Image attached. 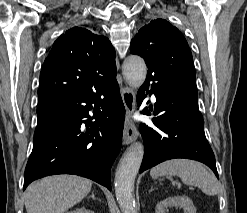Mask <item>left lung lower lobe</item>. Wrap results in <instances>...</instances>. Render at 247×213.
Masks as SVG:
<instances>
[{"mask_svg":"<svg viewBox=\"0 0 247 213\" xmlns=\"http://www.w3.org/2000/svg\"><path fill=\"white\" fill-rule=\"evenodd\" d=\"M148 82L153 80H146ZM146 83L139 89L138 106L147 94H154L156 103L149 108L154 127L140 125L144 140V157L139 172L169 159L186 158L208 165L218 178L214 153L205 137L204 120L198 108L197 95L183 85L161 86ZM142 114L150 115L147 108Z\"/></svg>","mask_w":247,"mask_h":213,"instance_id":"0a47b994","label":"left lung lower lobe"}]
</instances>
